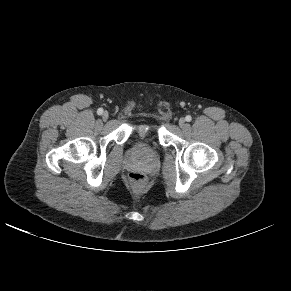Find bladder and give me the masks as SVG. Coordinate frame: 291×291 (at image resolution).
I'll use <instances>...</instances> for the list:
<instances>
[{"mask_svg":"<svg viewBox=\"0 0 291 291\" xmlns=\"http://www.w3.org/2000/svg\"><path fill=\"white\" fill-rule=\"evenodd\" d=\"M143 133H147V134L154 133V128L149 127L148 129H146V127H143Z\"/></svg>","mask_w":291,"mask_h":291,"instance_id":"obj_1","label":"bladder"}]
</instances>
